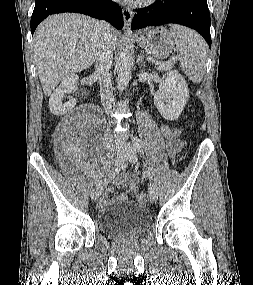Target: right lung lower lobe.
<instances>
[{"instance_id": "obj_1", "label": "right lung lower lobe", "mask_w": 253, "mask_h": 285, "mask_svg": "<svg viewBox=\"0 0 253 285\" xmlns=\"http://www.w3.org/2000/svg\"><path fill=\"white\" fill-rule=\"evenodd\" d=\"M63 12L82 13L109 21L117 29L123 27L122 10L111 0H35L30 24L32 35L38 24L47 16Z\"/></svg>"}]
</instances>
